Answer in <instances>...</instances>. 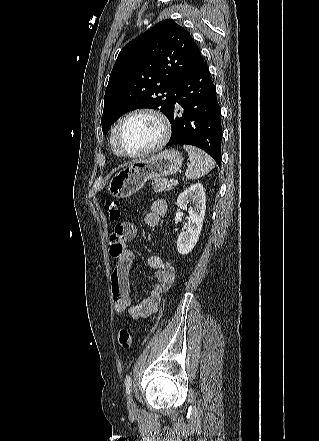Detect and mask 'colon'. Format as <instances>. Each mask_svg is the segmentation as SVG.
<instances>
[{
  "label": "colon",
  "instance_id": "colon-1",
  "mask_svg": "<svg viewBox=\"0 0 319 441\" xmlns=\"http://www.w3.org/2000/svg\"><path fill=\"white\" fill-rule=\"evenodd\" d=\"M104 209L111 221H117L121 217L120 202L114 199H108L104 203ZM117 341L121 348L128 349L132 344V337L127 329H120L117 334Z\"/></svg>",
  "mask_w": 319,
  "mask_h": 441
}]
</instances>
